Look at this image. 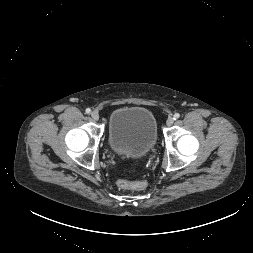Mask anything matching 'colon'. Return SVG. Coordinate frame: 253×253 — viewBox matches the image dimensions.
<instances>
[{
    "instance_id": "colon-1",
    "label": "colon",
    "mask_w": 253,
    "mask_h": 253,
    "mask_svg": "<svg viewBox=\"0 0 253 253\" xmlns=\"http://www.w3.org/2000/svg\"><path fill=\"white\" fill-rule=\"evenodd\" d=\"M117 186L120 189L124 190H143L146 188L147 183L145 181H128V180H118L117 181Z\"/></svg>"
}]
</instances>
